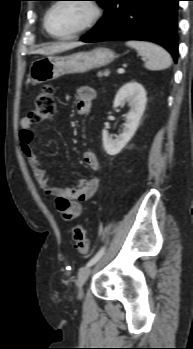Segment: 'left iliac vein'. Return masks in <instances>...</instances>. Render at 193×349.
<instances>
[{
	"label": "left iliac vein",
	"mask_w": 193,
	"mask_h": 349,
	"mask_svg": "<svg viewBox=\"0 0 193 349\" xmlns=\"http://www.w3.org/2000/svg\"><path fill=\"white\" fill-rule=\"evenodd\" d=\"M92 267H86L80 270L78 274L77 279V287H78V296H82V287L85 284L86 280L88 279L89 275L91 274Z\"/></svg>",
	"instance_id": "obj_1"
}]
</instances>
